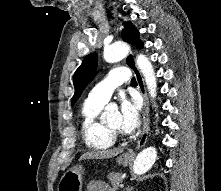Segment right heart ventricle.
I'll return each mask as SVG.
<instances>
[{
  "label": "right heart ventricle",
  "mask_w": 221,
  "mask_h": 191,
  "mask_svg": "<svg viewBox=\"0 0 221 191\" xmlns=\"http://www.w3.org/2000/svg\"><path fill=\"white\" fill-rule=\"evenodd\" d=\"M105 103L86 99L81 108V130L85 144L89 148L104 150L113 146L115 137L99 119Z\"/></svg>",
  "instance_id": "1"
}]
</instances>
